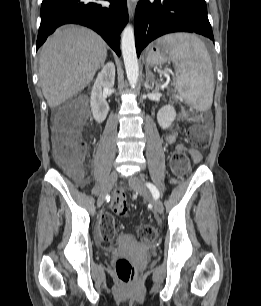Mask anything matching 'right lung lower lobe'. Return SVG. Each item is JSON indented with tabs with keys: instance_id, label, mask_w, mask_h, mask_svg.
<instances>
[{
	"instance_id": "obj_1",
	"label": "right lung lower lobe",
	"mask_w": 261,
	"mask_h": 306,
	"mask_svg": "<svg viewBox=\"0 0 261 306\" xmlns=\"http://www.w3.org/2000/svg\"><path fill=\"white\" fill-rule=\"evenodd\" d=\"M99 1L43 0L37 49L57 27L76 23L96 31L120 56V33L128 22L126 0H107L110 2L109 6H104Z\"/></svg>"
}]
</instances>
